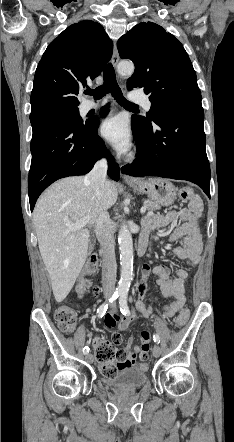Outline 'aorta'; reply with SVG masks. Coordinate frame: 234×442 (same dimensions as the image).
<instances>
[{"label": "aorta", "mask_w": 234, "mask_h": 442, "mask_svg": "<svg viewBox=\"0 0 234 442\" xmlns=\"http://www.w3.org/2000/svg\"><path fill=\"white\" fill-rule=\"evenodd\" d=\"M120 75H131L134 72V64L131 62H121L118 65ZM118 243L120 249L121 278L117 287L120 295H126L133 277V241L131 232L126 224H122L118 233Z\"/></svg>", "instance_id": "obj_1"}]
</instances>
